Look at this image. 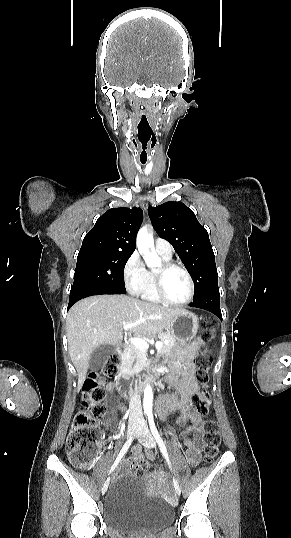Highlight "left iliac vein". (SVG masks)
Returning <instances> with one entry per match:
<instances>
[{
	"label": "left iliac vein",
	"instance_id": "1",
	"mask_svg": "<svg viewBox=\"0 0 291 538\" xmlns=\"http://www.w3.org/2000/svg\"><path fill=\"white\" fill-rule=\"evenodd\" d=\"M138 438L143 441L146 448H154L156 446L155 439L149 431L148 425L145 420H141L137 430ZM175 493L179 496L181 493L180 486L176 480H174Z\"/></svg>",
	"mask_w": 291,
	"mask_h": 538
}]
</instances>
